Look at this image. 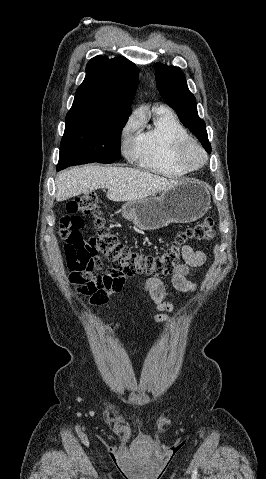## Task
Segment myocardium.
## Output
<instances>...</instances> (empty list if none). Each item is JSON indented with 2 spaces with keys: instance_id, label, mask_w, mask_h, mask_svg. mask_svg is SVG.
I'll list each match as a JSON object with an SVG mask.
<instances>
[{
  "instance_id": "obj_1",
  "label": "myocardium",
  "mask_w": 266,
  "mask_h": 479,
  "mask_svg": "<svg viewBox=\"0 0 266 479\" xmlns=\"http://www.w3.org/2000/svg\"><path fill=\"white\" fill-rule=\"evenodd\" d=\"M191 151H196L199 154V160L192 163L189 158ZM174 158L183 167L193 171L200 169L207 162V153L204 148L196 140L187 138L179 141L174 148Z\"/></svg>"
}]
</instances>
